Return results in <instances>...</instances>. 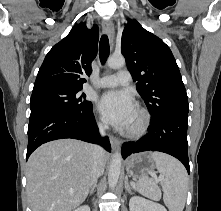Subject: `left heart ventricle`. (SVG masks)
I'll use <instances>...</instances> for the list:
<instances>
[{"label":"left heart ventricle","instance_id":"obj_1","mask_svg":"<svg viewBox=\"0 0 221 211\" xmlns=\"http://www.w3.org/2000/svg\"><path fill=\"white\" fill-rule=\"evenodd\" d=\"M138 122H139V117L135 112L127 128L135 127L138 124Z\"/></svg>","mask_w":221,"mask_h":211}]
</instances>
